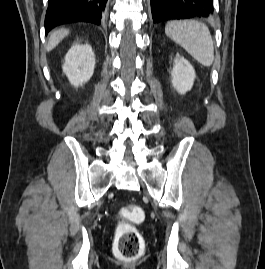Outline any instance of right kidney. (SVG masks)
I'll list each match as a JSON object with an SVG mask.
<instances>
[{
	"label": "right kidney",
	"mask_w": 265,
	"mask_h": 269,
	"mask_svg": "<svg viewBox=\"0 0 265 269\" xmlns=\"http://www.w3.org/2000/svg\"><path fill=\"white\" fill-rule=\"evenodd\" d=\"M95 55L90 45L75 44L65 56L63 72L70 83L78 87L90 80L94 73Z\"/></svg>",
	"instance_id": "right-kidney-1"
}]
</instances>
